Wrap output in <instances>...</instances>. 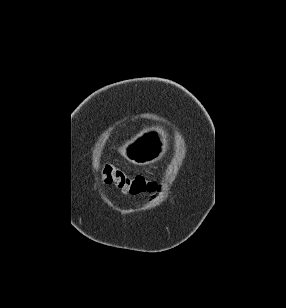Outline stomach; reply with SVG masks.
<instances>
[{
    "instance_id": "obj_1",
    "label": "stomach",
    "mask_w": 286,
    "mask_h": 308,
    "mask_svg": "<svg viewBox=\"0 0 286 308\" xmlns=\"http://www.w3.org/2000/svg\"><path fill=\"white\" fill-rule=\"evenodd\" d=\"M145 138H166V131H143V137H125V142H115V149L122 151L123 156L136 165L148 164L157 153H168V146H155Z\"/></svg>"
}]
</instances>
